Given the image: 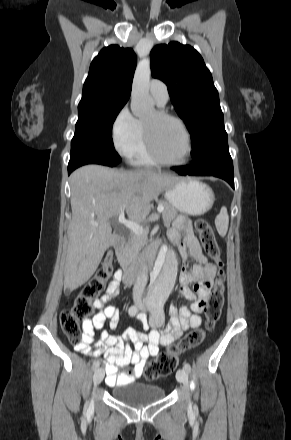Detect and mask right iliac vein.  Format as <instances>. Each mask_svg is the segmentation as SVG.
<instances>
[{"label":"right iliac vein","mask_w":291,"mask_h":440,"mask_svg":"<svg viewBox=\"0 0 291 440\" xmlns=\"http://www.w3.org/2000/svg\"><path fill=\"white\" fill-rule=\"evenodd\" d=\"M104 378V369L103 368H97L94 372V376H93V382L94 385L97 386L98 384L101 383V381Z\"/></svg>","instance_id":"1"}]
</instances>
